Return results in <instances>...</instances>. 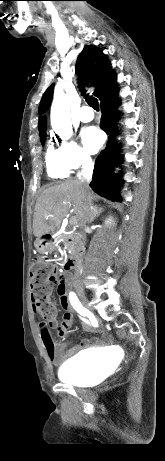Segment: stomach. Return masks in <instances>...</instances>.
Instances as JSON below:
<instances>
[{
  "label": "stomach",
  "mask_w": 165,
  "mask_h": 461,
  "mask_svg": "<svg viewBox=\"0 0 165 461\" xmlns=\"http://www.w3.org/2000/svg\"><path fill=\"white\" fill-rule=\"evenodd\" d=\"M35 248L38 252L40 253H44L48 248H49V244L46 242L45 239H37V241L35 242Z\"/></svg>",
  "instance_id": "obj_1"
}]
</instances>
